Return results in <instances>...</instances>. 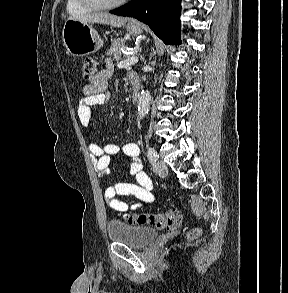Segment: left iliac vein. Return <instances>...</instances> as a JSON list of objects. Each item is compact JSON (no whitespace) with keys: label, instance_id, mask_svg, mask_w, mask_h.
Instances as JSON below:
<instances>
[{"label":"left iliac vein","instance_id":"4c4485c4","mask_svg":"<svg viewBox=\"0 0 288 293\" xmlns=\"http://www.w3.org/2000/svg\"><path fill=\"white\" fill-rule=\"evenodd\" d=\"M156 172L159 176L165 177L168 174V167L163 161H158L155 164Z\"/></svg>","mask_w":288,"mask_h":293}]
</instances>
